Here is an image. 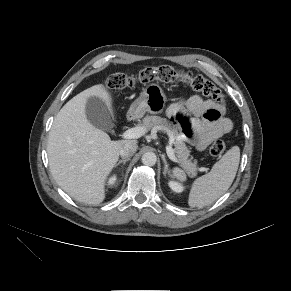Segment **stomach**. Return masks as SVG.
<instances>
[{
	"label": "stomach",
	"mask_w": 291,
	"mask_h": 291,
	"mask_svg": "<svg viewBox=\"0 0 291 291\" xmlns=\"http://www.w3.org/2000/svg\"><path fill=\"white\" fill-rule=\"evenodd\" d=\"M166 101L167 97L162 88L157 84H150L132 103L129 114L135 118L142 117L146 112L159 114L163 111Z\"/></svg>",
	"instance_id": "0dacf381"
}]
</instances>
